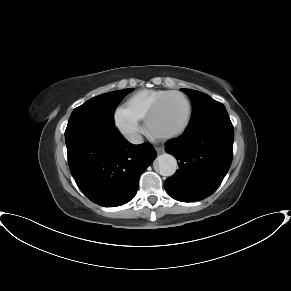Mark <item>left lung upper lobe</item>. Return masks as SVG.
<instances>
[{
  "instance_id": "obj_1",
  "label": "left lung upper lobe",
  "mask_w": 291,
  "mask_h": 291,
  "mask_svg": "<svg viewBox=\"0 0 291 291\" xmlns=\"http://www.w3.org/2000/svg\"><path fill=\"white\" fill-rule=\"evenodd\" d=\"M192 100L193 113L189 126L194 125L218 112L225 111V106L209 95L190 89H182Z\"/></svg>"
}]
</instances>
